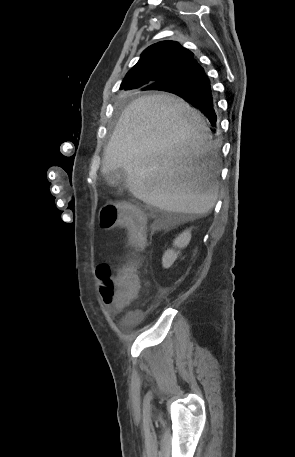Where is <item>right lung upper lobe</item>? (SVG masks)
<instances>
[{"label":"right lung upper lobe","mask_w":295,"mask_h":457,"mask_svg":"<svg viewBox=\"0 0 295 457\" xmlns=\"http://www.w3.org/2000/svg\"><path fill=\"white\" fill-rule=\"evenodd\" d=\"M194 54L175 41H162L149 46L126 74L120 89L130 90L174 80L194 60Z\"/></svg>","instance_id":"right-lung-upper-lobe-1"}]
</instances>
